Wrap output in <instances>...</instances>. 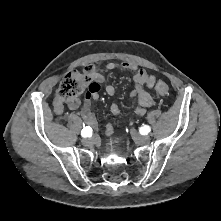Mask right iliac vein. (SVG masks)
I'll return each mask as SVG.
<instances>
[{
    "label": "right iliac vein",
    "instance_id": "obj_1",
    "mask_svg": "<svg viewBox=\"0 0 221 221\" xmlns=\"http://www.w3.org/2000/svg\"><path fill=\"white\" fill-rule=\"evenodd\" d=\"M82 143L85 145V146H91L94 144V139L93 138H85L82 140Z\"/></svg>",
    "mask_w": 221,
    "mask_h": 221
}]
</instances>
